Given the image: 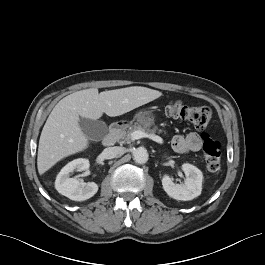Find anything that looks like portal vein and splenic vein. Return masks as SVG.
I'll use <instances>...</instances> for the list:
<instances>
[{
	"instance_id": "1",
	"label": "portal vein and splenic vein",
	"mask_w": 265,
	"mask_h": 265,
	"mask_svg": "<svg viewBox=\"0 0 265 265\" xmlns=\"http://www.w3.org/2000/svg\"><path fill=\"white\" fill-rule=\"evenodd\" d=\"M145 137H148V138L152 139L153 141H155L159 144L163 143V139L160 136H157L154 134H147V133L140 131V130L134 131L131 134L132 140H138V139L145 138Z\"/></svg>"
}]
</instances>
